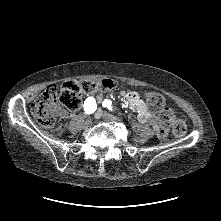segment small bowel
Here are the masks:
<instances>
[{"mask_svg": "<svg viewBox=\"0 0 221 221\" xmlns=\"http://www.w3.org/2000/svg\"><path fill=\"white\" fill-rule=\"evenodd\" d=\"M122 96L125 97L127 102L138 112V119L143 123H150L155 131H158L160 124L154 115H151L145 103L140 99L139 95L134 91H122ZM89 98V97H88ZM87 98V99H88ZM97 100L100 102L101 97L97 96Z\"/></svg>", "mask_w": 221, "mask_h": 221, "instance_id": "small-bowel-1", "label": "small bowel"}]
</instances>
